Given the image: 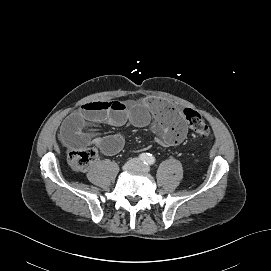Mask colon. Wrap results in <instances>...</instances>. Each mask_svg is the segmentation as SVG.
I'll use <instances>...</instances> for the list:
<instances>
[{"mask_svg":"<svg viewBox=\"0 0 271 271\" xmlns=\"http://www.w3.org/2000/svg\"><path fill=\"white\" fill-rule=\"evenodd\" d=\"M183 116L194 133L201 138L210 137V128L200 113L192 109H185ZM95 157L96 153L93 149H74L68 154V163L74 171L83 172L94 161Z\"/></svg>","mask_w":271,"mask_h":271,"instance_id":"5ec220e1","label":"colon"}]
</instances>
